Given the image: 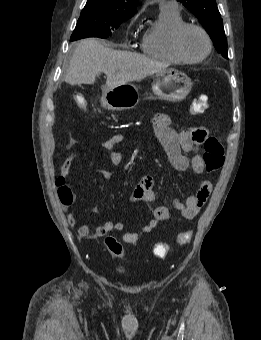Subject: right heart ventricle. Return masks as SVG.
I'll return each instance as SVG.
<instances>
[{
  "label": "right heart ventricle",
  "mask_w": 261,
  "mask_h": 340,
  "mask_svg": "<svg viewBox=\"0 0 261 340\" xmlns=\"http://www.w3.org/2000/svg\"><path fill=\"white\" fill-rule=\"evenodd\" d=\"M184 22L185 20L180 10L160 8L156 22L145 31L142 37V51L164 62L174 64L185 63L172 47L173 33Z\"/></svg>",
  "instance_id": "right-heart-ventricle-1"
}]
</instances>
